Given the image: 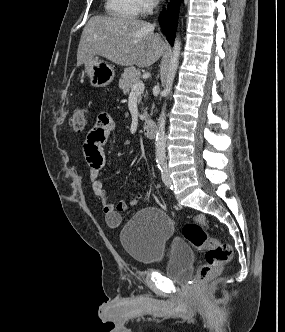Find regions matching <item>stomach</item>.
Segmentation results:
<instances>
[{
    "instance_id": "0dacf381",
    "label": "stomach",
    "mask_w": 285,
    "mask_h": 332,
    "mask_svg": "<svg viewBox=\"0 0 285 332\" xmlns=\"http://www.w3.org/2000/svg\"><path fill=\"white\" fill-rule=\"evenodd\" d=\"M85 71L90 78L91 85L94 87H106L115 77L113 67L101 61L97 56L85 63Z\"/></svg>"
}]
</instances>
